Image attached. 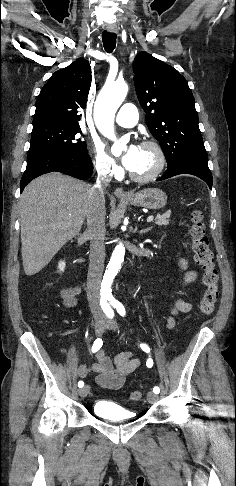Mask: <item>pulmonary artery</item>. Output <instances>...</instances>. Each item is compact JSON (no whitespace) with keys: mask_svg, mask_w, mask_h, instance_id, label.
<instances>
[{"mask_svg":"<svg viewBox=\"0 0 236 486\" xmlns=\"http://www.w3.org/2000/svg\"><path fill=\"white\" fill-rule=\"evenodd\" d=\"M116 123L122 127L130 128L138 121V111L131 103L124 104L116 115Z\"/></svg>","mask_w":236,"mask_h":486,"instance_id":"obj_1","label":"pulmonary artery"}]
</instances>
